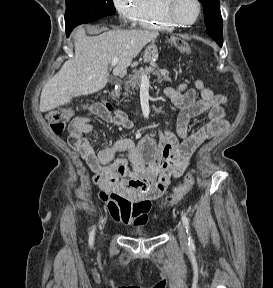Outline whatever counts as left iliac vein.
<instances>
[{
  "mask_svg": "<svg viewBox=\"0 0 273 288\" xmlns=\"http://www.w3.org/2000/svg\"><path fill=\"white\" fill-rule=\"evenodd\" d=\"M178 234L181 246L183 248L187 247V237L185 233V228L181 223L178 225Z\"/></svg>",
  "mask_w": 273,
  "mask_h": 288,
  "instance_id": "left-iliac-vein-1",
  "label": "left iliac vein"
}]
</instances>
